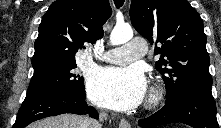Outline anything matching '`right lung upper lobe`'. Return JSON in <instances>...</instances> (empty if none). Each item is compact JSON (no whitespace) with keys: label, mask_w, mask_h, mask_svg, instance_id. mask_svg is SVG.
I'll return each mask as SVG.
<instances>
[{"label":"right lung upper lobe","mask_w":221,"mask_h":128,"mask_svg":"<svg viewBox=\"0 0 221 128\" xmlns=\"http://www.w3.org/2000/svg\"><path fill=\"white\" fill-rule=\"evenodd\" d=\"M112 14L109 0H57L39 25L32 58L34 74L75 62L86 43L102 38V26Z\"/></svg>","instance_id":"cb5924a9"}]
</instances>
